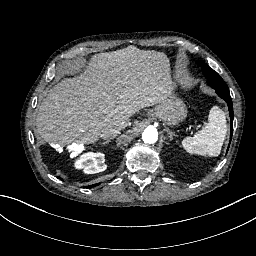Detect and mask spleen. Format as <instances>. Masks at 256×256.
<instances>
[{"label":"spleen","instance_id":"1","mask_svg":"<svg viewBox=\"0 0 256 256\" xmlns=\"http://www.w3.org/2000/svg\"><path fill=\"white\" fill-rule=\"evenodd\" d=\"M227 134L224 112L214 106L209 113L208 123L193 137H186L182 146L189 154L216 157L220 154Z\"/></svg>","mask_w":256,"mask_h":256}]
</instances>
